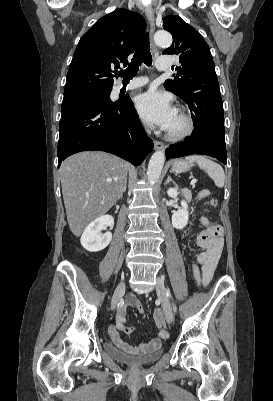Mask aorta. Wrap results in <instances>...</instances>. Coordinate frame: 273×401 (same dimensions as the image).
Wrapping results in <instances>:
<instances>
[{
    "label": "aorta",
    "mask_w": 273,
    "mask_h": 401,
    "mask_svg": "<svg viewBox=\"0 0 273 401\" xmlns=\"http://www.w3.org/2000/svg\"><path fill=\"white\" fill-rule=\"evenodd\" d=\"M156 45L160 47H169L172 44V36L166 31H158L154 35ZM165 162V154L163 151H156L150 158L147 178L150 185H154L161 174Z\"/></svg>",
    "instance_id": "aorta-1"
}]
</instances>
